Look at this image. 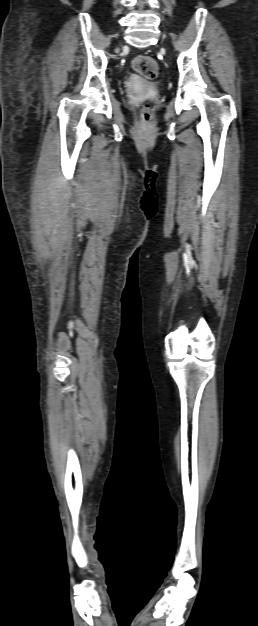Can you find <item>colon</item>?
I'll use <instances>...</instances> for the list:
<instances>
[{
	"label": "colon",
	"instance_id": "obj_1",
	"mask_svg": "<svg viewBox=\"0 0 258 626\" xmlns=\"http://www.w3.org/2000/svg\"><path fill=\"white\" fill-rule=\"evenodd\" d=\"M134 70L142 77L153 80L158 75L157 62L150 56L139 55L133 61ZM142 120L147 122L150 116L149 104H144L141 110Z\"/></svg>",
	"mask_w": 258,
	"mask_h": 626
}]
</instances>
